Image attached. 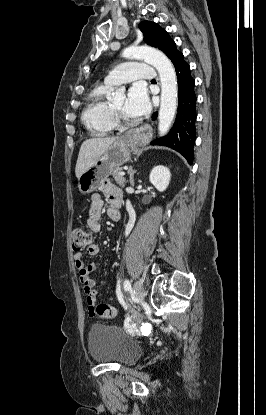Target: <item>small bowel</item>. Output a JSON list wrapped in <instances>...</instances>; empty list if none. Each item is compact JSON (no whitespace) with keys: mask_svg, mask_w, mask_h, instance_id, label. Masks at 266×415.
<instances>
[{"mask_svg":"<svg viewBox=\"0 0 266 415\" xmlns=\"http://www.w3.org/2000/svg\"><path fill=\"white\" fill-rule=\"evenodd\" d=\"M100 191L101 193H94L91 196V205L87 219L88 227L94 232L99 231L101 227L102 209L104 204L103 196L109 204V208L107 210L108 216L112 220H118L121 216L120 208L122 205V193L120 189L112 183L105 182L101 185ZM99 251L100 248L97 244L92 243L87 247V253L91 256H96ZM73 259L74 265L79 271L80 282L82 283L86 293L88 312L91 315L97 299L96 283L91 277V274L96 269V265L94 263L86 264L81 251L75 252Z\"/></svg>","mask_w":266,"mask_h":415,"instance_id":"c3829d8e","label":"small bowel"}]
</instances>
